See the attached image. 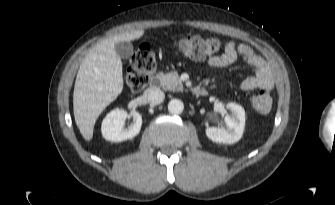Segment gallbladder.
I'll list each match as a JSON object with an SVG mask.
<instances>
[{
	"label": "gallbladder",
	"mask_w": 335,
	"mask_h": 205,
	"mask_svg": "<svg viewBox=\"0 0 335 205\" xmlns=\"http://www.w3.org/2000/svg\"><path fill=\"white\" fill-rule=\"evenodd\" d=\"M117 55L122 59H128L133 54V46L130 42H120L115 45Z\"/></svg>",
	"instance_id": "bac80fb5"
}]
</instances>
